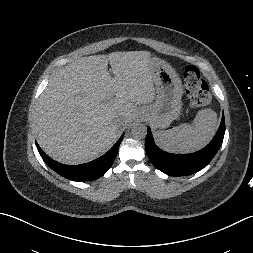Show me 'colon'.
<instances>
[{
	"label": "colon",
	"instance_id": "colon-1",
	"mask_svg": "<svg viewBox=\"0 0 253 253\" xmlns=\"http://www.w3.org/2000/svg\"><path fill=\"white\" fill-rule=\"evenodd\" d=\"M184 86L194 108L207 107L211 104L208 85L196 66L189 65L185 69Z\"/></svg>",
	"mask_w": 253,
	"mask_h": 253
}]
</instances>
